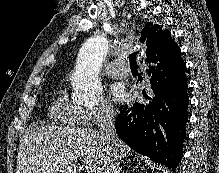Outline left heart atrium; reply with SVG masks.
<instances>
[{
  "label": "left heart atrium",
  "instance_id": "39dd6f15",
  "mask_svg": "<svg viewBox=\"0 0 219 173\" xmlns=\"http://www.w3.org/2000/svg\"><path fill=\"white\" fill-rule=\"evenodd\" d=\"M111 96L115 102H120L125 98L126 91L122 84L117 83L113 85L111 90Z\"/></svg>",
  "mask_w": 219,
  "mask_h": 173
}]
</instances>
